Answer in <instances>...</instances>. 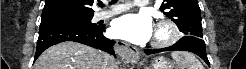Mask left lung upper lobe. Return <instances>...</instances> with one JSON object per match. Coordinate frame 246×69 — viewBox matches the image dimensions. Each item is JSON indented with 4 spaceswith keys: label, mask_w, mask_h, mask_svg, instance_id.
I'll return each mask as SVG.
<instances>
[{
    "label": "left lung upper lobe",
    "mask_w": 246,
    "mask_h": 69,
    "mask_svg": "<svg viewBox=\"0 0 246 69\" xmlns=\"http://www.w3.org/2000/svg\"><path fill=\"white\" fill-rule=\"evenodd\" d=\"M160 10L185 35L203 38L201 12L197 0H164Z\"/></svg>",
    "instance_id": "left-lung-upper-lobe-1"
}]
</instances>
